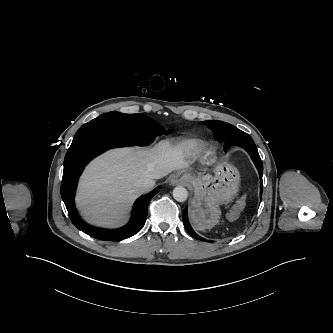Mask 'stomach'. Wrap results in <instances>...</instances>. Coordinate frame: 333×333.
Returning a JSON list of instances; mask_svg holds the SVG:
<instances>
[{
    "label": "stomach",
    "instance_id": "stomach-1",
    "mask_svg": "<svg viewBox=\"0 0 333 333\" xmlns=\"http://www.w3.org/2000/svg\"><path fill=\"white\" fill-rule=\"evenodd\" d=\"M183 178L194 192L190 203V218L194 227L203 230L217 225L221 217L219 205L231 202L238 192V169L228 160H223L216 166L213 175L184 173Z\"/></svg>",
    "mask_w": 333,
    "mask_h": 333
}]
</instances>
